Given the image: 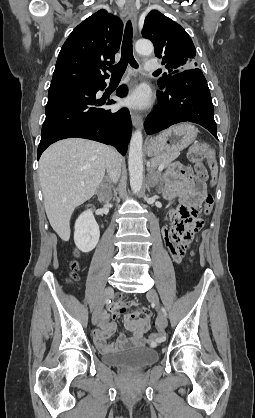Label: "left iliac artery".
Masks as SVG:
<instances>
[{
  "label": "left iliac artery",
  "mask_w": 255,
  "mask_h": 418,
  "mask_svg": "<svg viewBox=\"0 0 255 418\" xmlns=\"http://www.w3.org/2000/svg\"><path fill=\"white\" fill-rule=\"evenodd\" d=\"M162 310H163L164 314L167 315L166 310L164 308Z\"/></svg>",
  "instance_id": "44dca946"
}]
</instances>
